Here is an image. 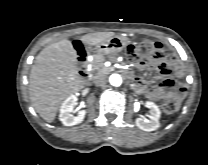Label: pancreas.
<instances>
[{"mask_svg":"<svg viewBox=\"0 0 208 165\" xmlns=\"http://www.w3.org/2000/svg\"><path fill=\"white\" fill-rule=\"evenodd\" d=\"M105 56L102 53L93 56L92 67L97 71V74L106 73L108 68L104 66ZM109 58H112L109 56Z\"/></svg>","mask_w":208,"mask_h":165,"instance_id":"obj_1","label":"pancreas"}]
</instances>
